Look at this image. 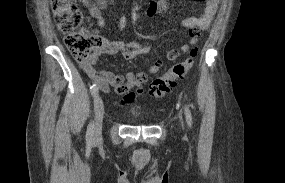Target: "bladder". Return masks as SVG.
<instances>
[{"mask_svg": "<svg viewBox=\"0 0 285 183\" xmlns=\"http://www.w3.org/2000/svg\"><path fill=\"white\" fill-rule=\"evenodd\" d=\"M131 114L133 116H138L139 115V111L137 109H133V110H131Z\"/></svg>", "mask_w": 285, "mask_h": 183, "instance_id": "31cf9c89", "label": "bladder"}]
</instances>
